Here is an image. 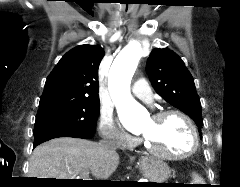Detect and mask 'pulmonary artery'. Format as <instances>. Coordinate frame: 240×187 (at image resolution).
Wrapping results in <instances>:
<instances>
[{
  "label": "pulmonary artery",
  "mask_w": 240,
  "mask_h": 187,
  "mask_svg": "<svg viewBox=\"0 0 240 187\" xmlns=\"http://www.w3.org/2000/svg\"><path fill=\"white\" fill-rule=\"evenodd\" d=\"M132 92L140 100L146 103L152 102V90L146 80L140 79L135 81L132 85Z\"/></svg>",
  "instance_id": "pulmonary-artery-1"
}]
</instances>
